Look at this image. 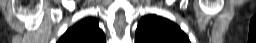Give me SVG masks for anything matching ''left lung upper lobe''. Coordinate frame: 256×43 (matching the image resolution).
<instances>
[{
	"label": "left lung upper lobe",
	"instance_id": "5c2ea615",
	"mask_svg": "<svg viewBox=\"0 0 256 43\" xmlns=\"http://www.w3.org/2000/svg\"><path fill=\"white\" fill-rule=\"evenodd\" d=\"M135 43H190V41L170 20L157 15H147L139 21Z\"/></svg>",
	"mask_w": 256,
	"mask_h": 43
}]
</instances>
